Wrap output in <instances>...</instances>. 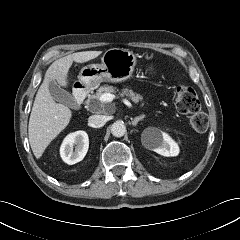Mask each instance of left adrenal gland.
<instances>
[{
    "mask_svg": "<svg viewBox=\"0 0 240 240\" xmlns=\"http://www.w3.org/2000/svg\"><path fill=\"white\" fill-rule=\"evenodd\" d=\"M145 117V115H141V116H137L132 120V125L136 126L138 124L139 121H141L143 118Z\"/></svg>",
    "mask_w": 240,
    "mask_h": 240,
    "instance_id": "a2214340",
    "label": "left adrenal gland"
}]
</instances>
